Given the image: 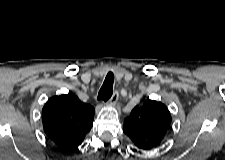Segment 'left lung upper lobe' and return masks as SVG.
Instances as JSON below:
<instances>
[{
    "instance_id": "5c2ea615",
    "label": "left lung upper lobe",
    "mask_w": 225,
    "mask_h": 160,
    "mask_svg": "<svg viewBox=\"0 0 225 160\" xmlns=\"http://www.w3.org/2000/svg\"><path fill=\"white\" fill-rule=\"evenodd\" d=\"M171 120L164 104L149 99L132 110L124 120L123 131L137 148L151 150L164 139Z\"/></svg>"
}]
</instances>
